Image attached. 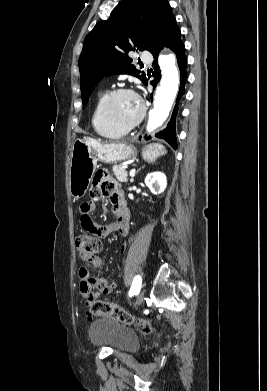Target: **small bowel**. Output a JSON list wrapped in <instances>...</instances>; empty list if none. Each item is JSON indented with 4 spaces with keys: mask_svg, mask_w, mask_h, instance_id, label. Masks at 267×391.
<instances>
[{
    "mask_svg": "<svg viewBox=\"0 0 267 391\" xmlns=\"http://www.w3.org/2000/svg\"><path fill=\"white\" fill-rule=\"evenodd\" d=\"M91 201L80 205V224L86 234L104 238L112 232H119L123 236L129 233V212L118 183L111 177L105 169H99L92 178L90 188ZM106 197L110 200L115 211V221L108 225H98L91 218L94 210V201ZM125 250V247L123 248ZM101 259L95 256L88 265L79 270V293L87 305L92 300L111 293L117 286L116 281L107 282L104 277H93L91 271L100 267Z\"/></svg>",
    "mask_w": 267,
    "mask_h": 391,
    "instance_id": "1",
    "label": "small bowel"
}]
</instances>
